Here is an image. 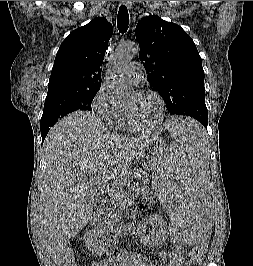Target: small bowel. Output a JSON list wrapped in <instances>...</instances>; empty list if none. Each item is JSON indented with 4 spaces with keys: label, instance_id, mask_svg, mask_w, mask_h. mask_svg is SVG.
Here are the masks:
<instances>
[{
    "label": "small bowel",
    "instance_id": "c3829d8e",
    "mask_svg": "<svg viewBox=\"0 0 253 266\" xmlns=\"http://www.w3.org/2000/svg\"><path fill=\"white\" fill-rule=\"evenodd\" d=\"M67 254V253H66ZM64 255V257L66 256ZM160 257L165 261L164 266H192L191 264H186L184 261V258L182 256V252L180 248H175L170 251H161L159 253ZM62 258V262L63 259ZM200 261V260H198ZM155 266L148 261H146L142 256L133 254L129 256L125 261L123 262H101V261H96L93 263L92 266Z\"/></svg>",
    "mask_w": 253,
    "mask_h": 266
}]
</instances>
